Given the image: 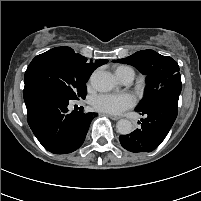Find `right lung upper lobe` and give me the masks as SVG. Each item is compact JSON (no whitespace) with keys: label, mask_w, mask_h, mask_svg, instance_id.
Here are the masks:
<instances>
[{"label":"right lung upper lobe","mask_w":201,"mask_h":201,"mask_svg":"<svg viewBox=\"0 0 201 201\" xmlns=\"http://www.w3.org/2000/svg\"><path fill=\"white\" fill-rule=\"evenodd\" d=\"M51 52L60 53L67 61L70 68L79 76L89 79L91 73L99 66L107 63V60H96L95 62H87L83 56L76 54L73 49L67 46L56 47Z\"/></svg>","instance_id":"cb5924a9"}]
</instances>
